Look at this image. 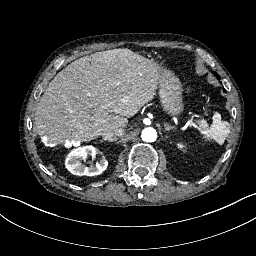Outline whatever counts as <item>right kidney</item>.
Here are the masks:
<instances>
[{
  "mask_svg": "<svg viewBox=\"0 0 256 256\" xmlns=\"http://www.w3.org/2000/svg\"><path fill=\"white\" fill-rule=\"evenodd\" d=\"M100 151L89 145L73 149L65 160V166L74 175L82 176H95L101 174L106 170L108 161L102 156L101 160L96 165H90L89 167L82 164V160H86L88 155L92 157L99 154Z\"/></svg>",
  "mask_w": 256,
  "mask_h": 256,
  "instance_id": "right-kidney-1",
  "label": "right kidney"
}]
</instances>
